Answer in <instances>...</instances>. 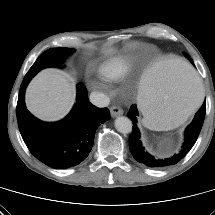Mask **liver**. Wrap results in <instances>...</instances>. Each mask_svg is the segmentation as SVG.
Returning <instances> with one entry per match:
<instances>
[{
  "label": "liver",
  "mask_w": 215,
  "mask_h": 215,
  "mask_svg": "<svg viewBox=\"0 0 215 215\" xmlns=\"http://www.w3.org/2000/svg\"><path fill=\"white\" fill-rule=\"evenodd\" d=\"M75 96V87L67 76L55 69H45L30 82L25 102L37 118L57 121L71 110Z\"/></svg>",
  "instance_id": "obj_1"
}]
</instances>
